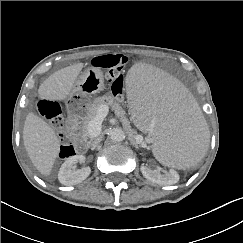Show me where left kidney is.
I'll list each match as a JSON object with an SVG mask.
<instances>
[{
	"label": "left kidney",
	"instance_id": "1",
	"mask_svg": "<svg viewBox=\"0 0 243 243\" xmlns=\"http://www.w3.org/2000/svg\"><path fill=\"white\" fill-rule=\"evenodd\" d=\"M141 173L142 175L153 183H157L159 185L167 186L176 184L179 181V174L176 170H170L162 174L159 170L153 169L147 165H141Z\"/></svg>",
	"mask_w": 243,
	"mask_h": 243
}]
</instances>
